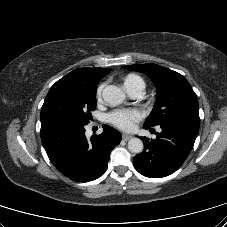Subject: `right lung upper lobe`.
Masks as SVG:
<instances>
[{
  "instance_id": "right-lung-upper-lobe-1",
  "label": "right lung upper lobe",
  "mask_w": 227,
  "mask_h": 227,
  "mask_svg": "<svg viewBox=\"0 0 227 227\" xmlns=\"http://www.w3.org/2000/svg\"><path fill=\"white\" fill-rule=\"evenodd\" d=\"M110 72V69L105 68H78L67 74V78H76L83 80H100L101 77H104Z\"/></svg>"
}]
</instances>
